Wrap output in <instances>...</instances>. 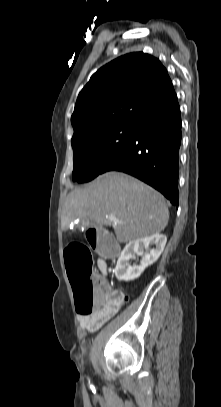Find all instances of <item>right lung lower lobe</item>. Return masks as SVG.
Segmentation results:
<instances>
[{
	"mask_svg": "<svg viewBox=\"0 0 221 407\" xmlns=\"http://www.w3.org/2000/svg\"><path fill=\"white\" fill-rule=\"evenodd\" d=\"M181 116L176 93L136 123L128 143L104 168L144 181L178 206Z\"/></svg>",
	"mask_w": 221,
	"mask_h": 407,
	"instance_id": "98d812e1",
	"label": "right lung lower lobe"
}]
</instances>
